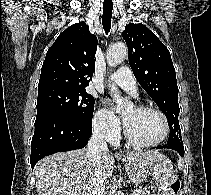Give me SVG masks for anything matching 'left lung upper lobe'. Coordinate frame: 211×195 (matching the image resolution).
I'll return each instance as SVG.
<instances>
[{
  "label": "left lung upper lobe",
  "mask_w": 211,
  "mask_h": 195,
  "mask_svg": "<svg viewBox=\"0 0 211 195\" xmlns=\"http://www.w3.org/2000/svg\"><path fill=\"white\" fill-rule=\"evenodd\" d=\"M135 78L165 114L170 135L167 144L182 142L178 86L167 47L143 24H128L122 33Z\"/></svg>",
  "instance_id": "obj_1"
}]
</instances>
